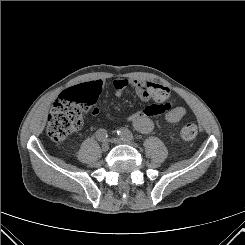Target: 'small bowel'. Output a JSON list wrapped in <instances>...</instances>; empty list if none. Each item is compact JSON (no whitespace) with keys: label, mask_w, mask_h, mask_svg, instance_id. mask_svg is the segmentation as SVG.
<instances>
[{"label":"small bowel","mask_w":245,"mask_h":245,"mask_svg":"<svg viewBox=\"0 0 245 245\" xmlns=\"http://www.w3.org/2000/svg\"><path fill=\"white\" fill-rule=\"evenodd\" d=\"M93 82H98L102 85L101 81ZM113 87L116 97H121L127 89L132 88L142 100H153L155 102L143 110L130 114L127 118L133 127L141 133H149L155 128L154 116L163 114L164 120L173 124L179 122L187 114V110L184 107L175 105V100L171 98L169 89L158 83L119 78L113 81ZM99 112L98 107L92 109V114L95 116Z\"/></svg>","instance_id":"small-bowel-1"}]
</instances>
